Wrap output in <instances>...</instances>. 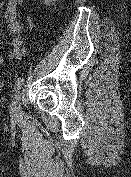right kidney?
<instances>
[{"label":"right kidney","instance_id":"ca27d5eb","mask_svg":"<svg viewBox=\"0 0 131 177\" xmlns=\"http://www.w3.org/2000/svg\"><path fill=\"white\" fill-rule=\"evenodd\" d=\"M57 0H44L46 5H50L52 2H56Z\"/></svg>","mask_w":131,"mask_h":177}]
</instances>
